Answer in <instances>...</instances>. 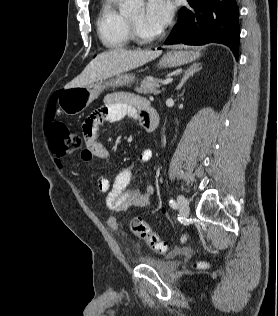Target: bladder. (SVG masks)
Wrapping results in <instances>:
<instances>
[{
	"instance_id": "obj_1",
	"label": "bladder",
	"mask_w": 278,
	"mask_h": 316,
	"mask_svg": "<svg viewBox=\"0 0 278 316\" xmlns=\"http://www.w3.org/2000/svg\"><path fill=\"white\" fill-rule=\"evenodd\" d=\"M137 263L150 267L160 274H169L174 268V261L169 259H138Z\"/></svg>"
}]
</instances>
